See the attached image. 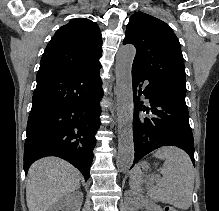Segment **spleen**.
I'll return each instance as SVG.
<instances>
[{
  "instance_id": "obj_1",
  "label": "spleen",
  "mask_w": 219,
  "mask_h": 211,
  "mask_svg": "<svg viewBox=\"0 0 219 211\" xmlns=\"http://www.w3.org/2000/svg\"><path fill=\"white\" fill-rule=\"evenodd\" d=\"M154 157L165 159L161 169L163 177L151 175L150 181L151 183L156 181V185L150 187L148 195L155 201L172 203L179 209H188L192 205L194 187L193 163L189 155L175 145H167L158 149ZM142 183H144L142 171L137 165L130 173L129 185L134 191H142Z\"/></svg>"
}]
</instances>
